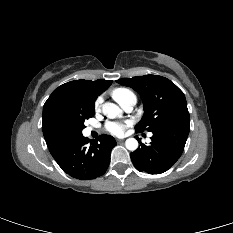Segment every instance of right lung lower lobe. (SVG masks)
Instances as JSON below:
<instances>
[{"instance_id":"98d812e1","label":"right lung lower lobe","mask_w":233,"mask_h":233,"mask_svg":"<svg viewBox=\"0 0 233 233\" xmlns=\"http://www.w3.org/2000/svg\"><path fill=\"white\" fill-rule=\"evenodd\" d=\"M115 145V139L109 135H101L96 141H89L82 135L51 154L70 176L81 180L94 179L106 172Z\"/></svg>"}]
</instances>
